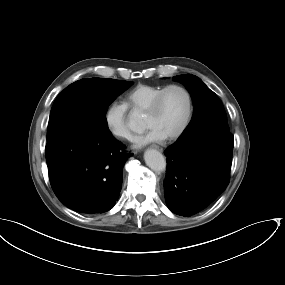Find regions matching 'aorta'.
Returning <instances> with one entry per match:
<instances>
[{"label":"aorta","instance_id":"obj_1","mask_svg":"<svg viewBox=\"0 0 285 285\" xmlns=\"http://www.w3.org/2000/svg\"><path fill=\"white\" fill-rule=\"evenodd\" d=\"M139 121V117L135 113L129 116L128 124L133 127ZM146 165L155 172H163L166 169V160L164 156L157 150L148 149L144 153Z\"/></svg>","mask_w":285,"mask_h":285}]
</instances>
